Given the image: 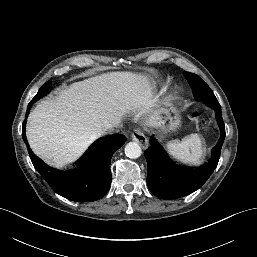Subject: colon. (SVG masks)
<instances>
[{"label":"colon","mask_w":257,"mask_h":257,"mask_svg":"<svg viewBox=\"0 0 257 257\" xmlns=\"http://www.w3.org/2000/svg\"><path fill=\"white\" fill-rule=\"evenodd\" d=\"M194 118L197 120V123L199 124V125H203L204 124V121L200 118V116H199V114H195L194 115Z\"/></svg>","instance_id":"colon-1"}]
</instances>
